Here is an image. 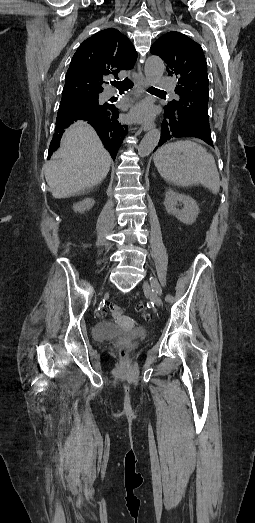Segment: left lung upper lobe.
<instances>
[{
    "label": "left lung upper lobe",
    "instance_id": "1",
    "mask_svg": "<svg viewBox=\"0 0 255 523\" xmlns=\"http://www.w3.org/2000/svg\"><path fill=\"white\" fill-rule=\"evenodd\" d=\"M150 51L165 61L168 74L178 79L180 84L175 88L179 100L165 105L164 115L167 110H176L179 115H186L188 121H196L206 130H213L208 118L207 63L201 46L186 35L172 31L158 38Z\"/></svg>",
    "mask_w": 255,
    "mask_h": 523
}]
</instances>
